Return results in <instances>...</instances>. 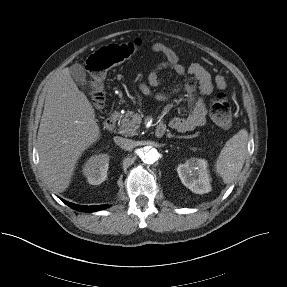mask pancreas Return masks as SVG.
Listing matches in <instances>:
<instances>
[{
    "label": "pancreas",
    "instance_id": "1",
    "mask_svg": "<svg viewBox=\"0 0 287 287\" xmlns=\"http://www.w3.org/2000/svg\"><path fill=\"white\" fill-rule=\"evenodd\" d=\"M133 111H127L120 116L119 119V132L125 136H134L138 134L139 125L132 119L134 116Z\"/></svg>",
    "mask_w": 287,
    "mask_h": 287
}]
</instances>
